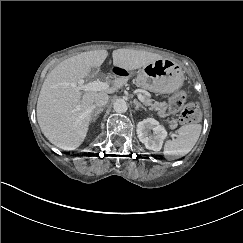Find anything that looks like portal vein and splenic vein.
Here are the masks:
<instances>
[{
  "label": "portal vein and splenic vein",
  "instance_id": "obj_1",
  "mask_svg": "<svg viewBox=\"0 0 243 243\" xmlns=\"http://www.w3.org/2000/svg\"><path fill=\"white\" fill-rule=\"evenodd\" d=\"M77 88L82 91H103L109 88V84L107 82L93 81L88 84H83V82H79ZM138 99L141 102H144V97L142 94L137 95Z\"/></svg>",
  "mask_w": 243,
  "mask_h": 243
}]
</instances>
